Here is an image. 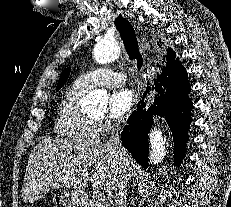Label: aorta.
I'll list each match as a JSON object with an SVG mask.
<instances>
[{"instance_id":"aorta-1","label":"aorta","mask_w":231,"mask_h":207,"mask_svg":"<svg viewBox=\"0 0 231 207\" xmlns=\"http://www.w3.org/2000/svg\"><path fill=\"white\" fill-rule=\"evenodd\" d=\"M121 49L115 39L103 38L94 47L93 57L99 64L110 63L119 58ZM108 101L107 92L104 90H93L89 92L82 100V105L86 109L105 110ZM150 138V157L151 165L161 163L166 154V140L162 132L153 128L149 134Z\"/></svg>"}]
</instances>
